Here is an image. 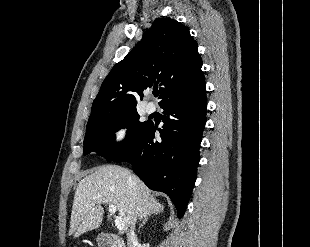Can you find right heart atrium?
<instances>
[{
    "instance_id": "right-heart-atrium-1",
    "label": "right heart atrium",
    "mask_w": 310,
    "mask_h": 247,
    "mask_svg": "<svg viewBox=\"0 0 310 247\" xmlns=\"http://www.w3.org/2000/svg\"><path fill=\"white\" fill-rule=\"evenodd\" d=\"M129 136V130L126 126L116 128L112 134V140L115 144L124 143Z\"/></svg>"
}]
</instances>
